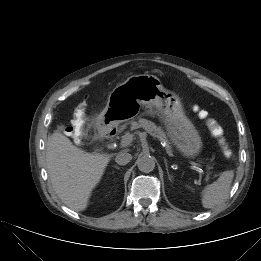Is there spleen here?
I'll use <instances>...</instances> for the list:
<instances>
[{"mask_svg": "<svg viewBox=\"0 0 261 261\" xmlns=\"http://www.w3.org/2000/svg\"><path fill=\"white\" fill-rule=\"evenodd\" d=\"M234 177L232 170L224 171L217 181L206 186L202 192V205L204 208H214L228 197L230 186Z\"/></svg>", "mask_w": 261, "mask_h": 261, "instance_id": "spleen-1", "label": "spleen"}]
</instances>
